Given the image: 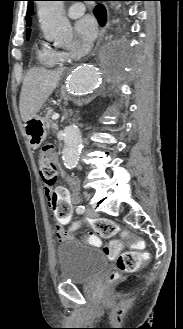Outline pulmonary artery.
Instances as JSON below:
<instances>
[{"mask_svg":"<svg viewBox=\"0 0 183 329\" xmlns=\"http://www.w3.org/2000/svg\"><path fill=\"white\" fill-rule=\"evenodd\" d=\"M84 12H85L84 4L78 2V3H73L68 8L67 14L70 18H78L81 15H83Z\"/></svg>","mask_w":183,"mask_h":329,"instance_id":"pulmonary-artery-1","label":"pulmonary artery"}]
</instances>
